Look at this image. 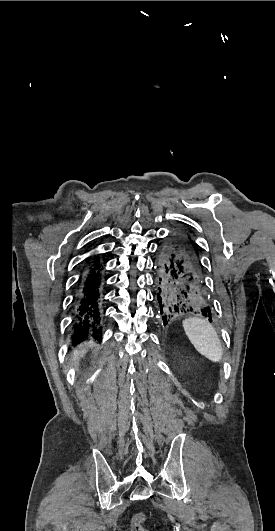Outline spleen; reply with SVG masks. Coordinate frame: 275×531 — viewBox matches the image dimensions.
<instances>
[{"mask_svg":"<svg viewBox=\"0 0 275 531\" xmlns=\"http://www.w3.org/2000/svg\"><path fill=\"white\" fill-rule=\"evenodd\" d=\"M182 325L189 341L198 353L213 363L221 361L223 357L222 345L213 325L207 319L189 317L183 321Z\"/></svg>","mask_w":275,"mask_h":531,"instance_id":"1","label":"spleen"}]
</instances>
